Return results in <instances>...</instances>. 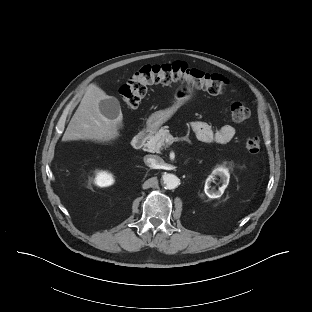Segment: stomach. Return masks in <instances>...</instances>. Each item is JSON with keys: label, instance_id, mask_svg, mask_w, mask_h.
Here are the masks:
<instances>
[{"label": "stomach", "instance_id": "1", "mask_svg": "<svg viewBox=\"0 0 312 312\" xmlns=\"http://www.w3.org/2000/svg\"><path fill=\"white\" fill-rule=\"evenodd\" d=\"M195 96V90L189 85H182L175 90L173 104L165 109L154 112L147 120V126L157 129L166 123L177 110Z\"/></svg>", "mask_w": 312, "mask_h": 312}]
</instances>
